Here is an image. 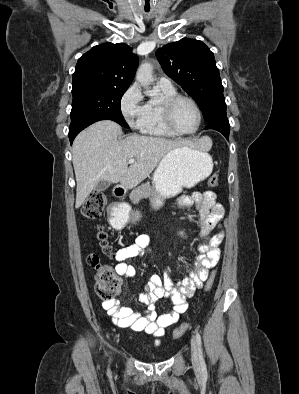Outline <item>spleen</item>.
Returning <instances> with one entry per match:
<instances>
[{"label": "spleen", "mask_w": 299, "mask_h": 394, "mask_svg": "<svg viewBox=\"0 0 299 394\" xmlns=\"http://www.w3.org/2000/svg\"><path fill=\"white\" fill-rule=\"evenodd\" d=\"M205 141L207 142V148H210V147H211V141H210V139H205Z\"/></svg>", "instance_id": "1"}]
</instances>
